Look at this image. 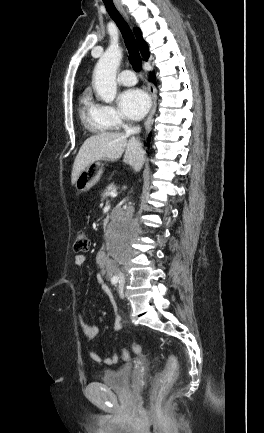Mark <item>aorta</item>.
I'll list each match as a JSON object with an SVG mask.
<instances>
[{
    "label": "aorta",
    "instance_id": "aorta-1",
    "mask_svg": "<svg viewBox=\"0 0 264 433\" xmlns=\"http://www.w3.org/2000/svg\"><path fill=\"white\" fill-rule=\"evenodd\" d=\"M122 59L118 48H109L98 60L94 70V87L100 98L106 102L114 101L117 92L116 73Z\"/></svg>",
    "mask_w": 264,
    "mask_h": 433
}]
</instances>
